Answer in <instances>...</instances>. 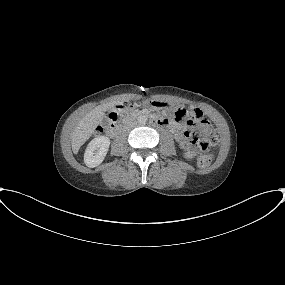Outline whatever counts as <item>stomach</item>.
Masks as SVG:
<instances>
[{
	"mask_svg": "<svg viewBox=\"0 0 285 285\" xmlns=\"http://www.w3.org/2000/svg\"><path fill=\"white\" fill-rule=\"evenodd\" d=\"M147 104L154 110H167L170 107L167 102L157 100L148 101Z\"/></svg>",
	"mask_w": 285,
	"mask_h": 285,
	"instance_id": "1",
	"label": "stomach"
}]
</instances>
